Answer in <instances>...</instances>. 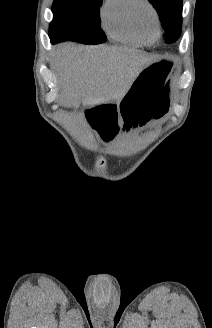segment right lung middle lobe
<instances>
[{"label":"right lung middle lobe","mask_w":212,"mask_h":328,"mask_svg":"<svg viewBox=\"0 0 212 328\" xmlns=\"http://www.w3.org/2000/svg\"><path fill=\"white\" fill-rule=\"evenodd\" d=\"M102 0H55L49 36L53 43L76 41L100 44L107 39L100 26L99 8Z\"/></svg>","instance_id":"1"}]
</instances>
